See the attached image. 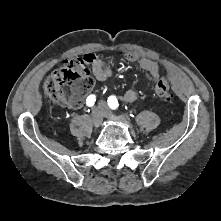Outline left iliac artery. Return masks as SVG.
Wrapping results in <instances>:
<instances>
[{
	"instance_id": "44dca946",
	"label": "left iliac artery",
	"mask_w": 221,
	"mask_h": 221,
	"mask_svg": "<svg viewBox=\"0 0 221 221\" xmlns=\"http://www.w3.org/2000/svg\"><path fill=\"white\" fill-rule=\"evenodd\" d=\"M107 102H108L109 107L113 110H116L119 106L118 100L115 96H110Z\"/></svg>"
}]
</instances>
